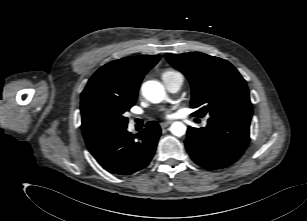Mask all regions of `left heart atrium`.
Returning a JSON list of instances; mask_svg holds the SVG:
<instances>
[{"label": "left heart atrium", "mask_w": 307, "mask_h": 221, "mask_svg": "<svg viewBox=\"0 0 307 221\" xmlns=\"http://www.w3.org/2000/svg\"><path fill=\"white\" fill-rule=\"evenodd\" d=\"M163 114H164L165 117H169L170 116V111L166 110Z\"/></svg>", "instance_id": "1"}]
</instances>
